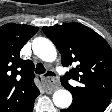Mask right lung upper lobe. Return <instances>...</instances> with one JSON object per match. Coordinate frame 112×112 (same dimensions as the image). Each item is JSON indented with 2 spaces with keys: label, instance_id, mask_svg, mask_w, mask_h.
Listing matches in <instances>:
<instances>
[{
  "label": "right lung upper lobe",
  "instance_id": "cb5924a9",
  "mask_svg": "<svg viewBox=\"0 0 112 112\" xmlns=\"http://www.w3.org/2000/svg\"><path fill=\"white\" fill-rule=\"evenodd\" d=\"M38 29L13 23L0 27V112H28L39 95L33 62L19 56Z\"/></svg>",
  "mask_w": 112,
  "mask_h": 112
}]
</instances>
